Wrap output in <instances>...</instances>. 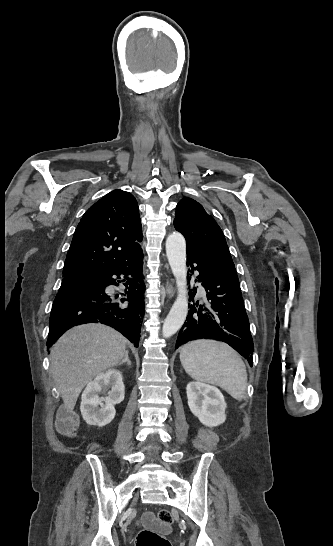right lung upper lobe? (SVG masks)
I'll return each instance as SVG.
<instances>
[{
  "mask_svg": "<svg viewBox=\"0 0 333 546\" xmlns=\"http://www.w3.org/2000/svg\"><path fill=\"white\" fill-rule=\"evenodd\" d=\"M137 201L114 190L93 204L80 220L63 268L65 279L122 266L142 253Z\"/></svg>",
  "mask_w": 333,
  "mask_h": 546,
  "instance_id": "1",
  "label": "right lung upper lobe"
}]
</instances>
